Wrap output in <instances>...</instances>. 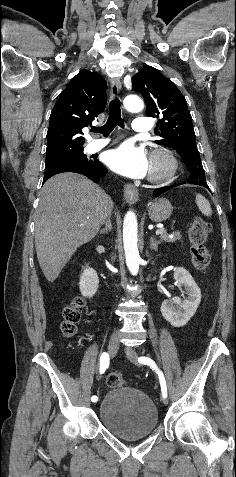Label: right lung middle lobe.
Wrapping results in <instances>:
<instances>
[{
	"mask_svg": "<svg viewBox=\"0 0 236 477\" xmlns=\"http://www.w3.org/2000/svg\"><path fill=\"white\" fill-rule=\"evenodd\" d=\"M95 161L96 160H88L86 154L81 151L65 159L45 164V172L68 169L72 167H87L93 165Z\"/></svg>",
	"mask_w": 236,
	"mask_h": 477,
	"instance_id": "obj_1",
	"label": "right lung middle lobe"
}]
</instances>
